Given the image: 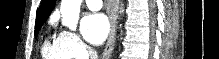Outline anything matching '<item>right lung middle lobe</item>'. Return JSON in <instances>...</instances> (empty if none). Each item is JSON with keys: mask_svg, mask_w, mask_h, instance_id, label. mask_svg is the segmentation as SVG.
Instances as JSON below:
<instances>
[{"mask_svg": "<svg viewBox=\"0 0 219 59\" xmlns=\"http://www.w3.org/2000/svg\"><path fill=\"white\" fill-rule=\"evenodd\" d=\"M40 27H41V25L35 26L34 34H35V37H36V38H37V34H38V32H39Z\"/></svg>", "mask_w": 219, "mask_h": 59, "instance_id": "dd1d6c3e", "label": "right lung middle lobe"}]
</instances>
